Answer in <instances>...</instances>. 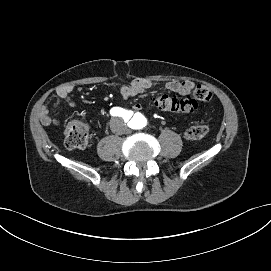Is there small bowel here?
Here are the masks:
<instances>
[{
  "mask_svg": "<svg viewBox=\"0 0 271 271\" xmlns=\"http://www.w3.org/2000/svg\"><path fill=\"white\" fill-rule=\"evenodd\" d=\"M155 83L150 80L145 79H134L128 84H124L121 87V94L124 99H130L132 97H135L143 92H145L147 89L154 86ZM165 88L171 92L180 94V95H188L194 92L196 89V85L192 81H182L179 82L177 80H170L165 82L164 84ZM72 92L73 87L71 86H64L57 89L56 93L58 97L69 107L75 106V101L72 98ZM134 110H140L141 105L140 104H134L133 106ZM39 119L41 123L45 125H58L59 120L53 116H51L49 109L46 106H43L39 111Z\"/></svg>",
  "mask_w": 271,
  "mask_h": 271,
  "instance_id": "obj_1",
  "label": "small bowel"
}]
</instances>
